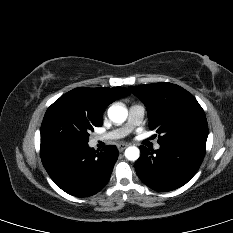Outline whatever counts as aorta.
<instances>
[{"instance_id":"aorta-1","label":"aorta","mask_w":233,"mask_h":233,"mask_svg":"<svg viewBox=\"0 0 233 233\" xmlns=\"http://www.w3.org/2000/svg\"><path fill=\"white\" fill-rule=\"evenodd\" d=\"M127 116H128V111L122 105H118V104L112 105L108 109V117L114 123H118V124L123 123L126 120ZM139 156H140V150L135 146L128 147L125 150V157L130 161H136L139 158Z\"/></svg>"}]
</instances>
